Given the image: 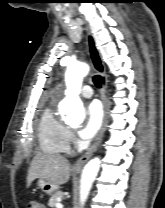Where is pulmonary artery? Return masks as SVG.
Listing matches in <instances>:
<instances>
[{
  "label": "pulmonary artery",
  "instance_id": "obj_1",
  "mask_svg": "<svg viewBox=\"0 0 165 208\" xmlns=\"http://www.w3.org/2000/svg\"><path fill=\"white\" fill-rule=\"evenodd\" d=\"M81 96L84 98H91L93 96V89L89 85L83 86L81 90Z\"/></svg>",
  "mask_w": 165,
  "mask_h": 208
}]
</instances>
